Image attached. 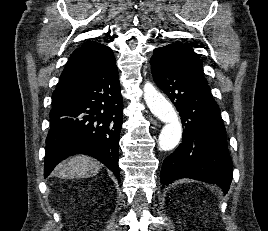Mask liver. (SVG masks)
<instances>
[{"label":"liver","mask_w":268,"mask_h":231,"mask_svg":"<svg viewBox=\"0 0 268 231\" xmlns=\"http://www.w3.org/2000/svg\"><path fill=\"white\" fill-rule=\"evenodd\" d=\"M102 164L85 155H76L56 168V177L64 179L89 178L99 173Z\"/></svg>","instance_id":"1"}]
</instances>
